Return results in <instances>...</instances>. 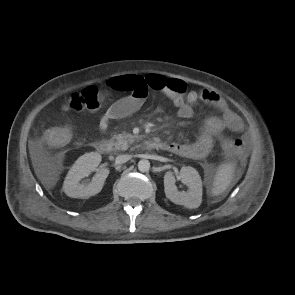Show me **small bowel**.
<instances>
[{
    "mask_svg": "<svg viewBox=\"0 0 295 295\" xmlns=\"http://www.w3.org/2000/svg\"><path fill=\"white\" fill-rule=\"evenodd\" d=\"M101 88L112 91L129 92V95L112 103L99 119L102 132L108 129L112 120L127 117L138 111L144 104L150 90L163 93L171 99L177 108V115L182 119H189L193 115V106L202 100L218 109L220 117H213L206 121L202 133L193 142L177 143L165 142L163 149L176 155L191 158H205L212 150L215 139L224 130L231 132L242 131L244 125L241 118L234 113L228 104L215 92L210 90H188L185 81L167 78L159 74L146 76L128 75L111 78L101 84Z\"/></svg>",
    "mask_w": 295,
    "mask_h": 295,
    "instance_id": "obj_1",
    "label": "small bowel"
}]
</instances>
